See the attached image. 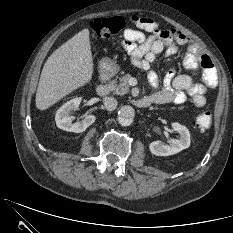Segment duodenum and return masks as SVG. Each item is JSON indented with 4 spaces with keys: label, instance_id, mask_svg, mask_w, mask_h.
<instances>
[{
    "label": "duodenum",
    "instance_id": "duodenum-1",
    "mask_svg": "<svg viewBox=\"0 0 233 233\" xmlns=\"http://www.w3.org/2000/svg\"><path fill=\"white\" fill-rule=\"evenodd\" d=\"M112 73H113L112 67L108 63H104L101 66V70H100L101 82L96 87V92L98 95L105 96L108 94L109 92L108 81L111 78ZM132 103L138 108H146L152 103V101L149 97H142V98L133 99Z\"/></svg>",
    "mask_w": 233,
    "mask_h": 233
}]
</instances>
